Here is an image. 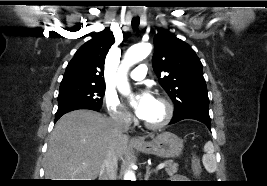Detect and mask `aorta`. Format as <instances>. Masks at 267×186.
<instances>
[{"label":"aorta","mask_w":267,"mask_h":186,"mask_svg":"<svg viewBox=\"0 0 267 186\" xmlns=\"http://www.w3.org/2000/svg\"><path fill=\"white\" fill-rule=\"evenodd\" d=\"M151 50V44L140 43L132 46L126 52L121 66L118 70L117 88L122 94L128 95L130 93V86L127 81L128 69L133 64L145 59L150 54ZM124 180L135 181V174L132 171H128L124 176Z\"/></svg>","instance_id":"1"}]
</instances>
